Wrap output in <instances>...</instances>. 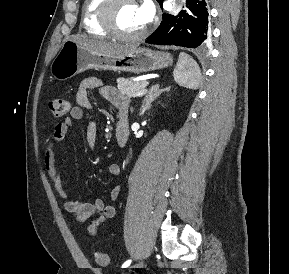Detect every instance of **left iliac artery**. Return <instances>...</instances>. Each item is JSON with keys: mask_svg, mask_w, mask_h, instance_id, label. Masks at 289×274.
Masks as SVG:
<instances>
[{"mask_svg": "<svg viewBox=\"0 0 289 274\" xmlns=\"http://www.w3.org/2000/svg\"><path fill=\"white\" fill-rule=\"evenodd\" d=\"M131 261H132V260H127L126 262H124V263L122 264V268H127V267L131 264Z\"/></svg>", "mask_w": 289, "mask_h": 274, "instance_id": "left-iliac-artery-1", "label": "left iliac artery"}]
</instances>
